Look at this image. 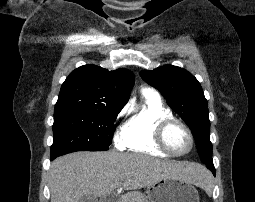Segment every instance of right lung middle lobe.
Here are the masks:
<instances>
[{"instance_id": "1", "label": "right lung middle lobe", "mask_w": 255, "mask_h": 202, "mask_svg": "<svg viewBox=\"0 0 255 202\" xmlns=\"http://www.w3.org/2000/svg\"><path fill=\"white\" fill-rule=\"evenodd\" d=\"M120 111L88 109L54 115L51 159L74 151L108 150L112 125Z\"/></svg>"}]
</instances>
